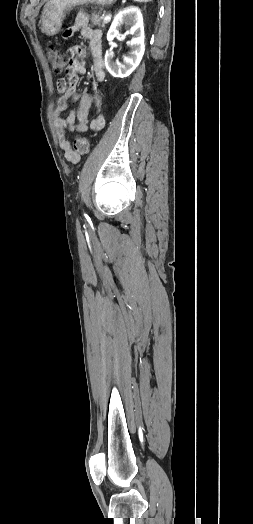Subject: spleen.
<instances>
[{
  "label": "spleen",
  "mask_w": 253,
  "mask_h": 524,
  "mask_svg": "<svg viewBox=\"0 0 253 524\" xmlns=\"http://www.w3.org/2000/svg\"><path fill=\"white\" fill-rule=\"evenodd\" d=\"M135 2H149V1H152V0H133Z\"/></svg>",
  "instance_id": "1"
}]
</instances>
